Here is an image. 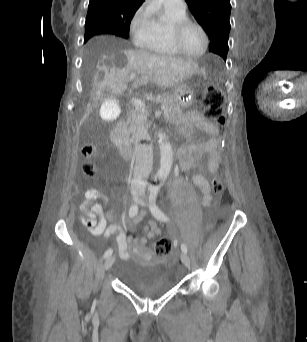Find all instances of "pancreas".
<instances>
[{"mask_svg":"<svg viewBox=\"0 0 307 342\" xmlns=\"http://www.w3.org/2000/svg\"><path fill=\"white\" fill-rule=\"evenodd\" d=\"M175 95L169 94L167 98H164L162 100L161 104L164 110V118L166 120H170V118H177V116H181V110L179 108H174V106H169V104H173L175 102ZM133 120L135 118H140V120H145L146 116H143V114H137V112H133Z\"/></svg>","mask_w":307,"mask_h":342,"instance_id":"obj_1","label":"pancreas"}]
</instances>
